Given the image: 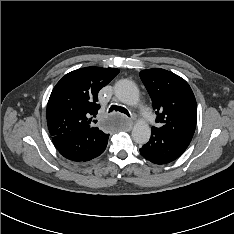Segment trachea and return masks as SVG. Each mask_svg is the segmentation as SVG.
<instances>
[{
	"instance_id": "obj_1",
	"label": "trachea",
	"mask_w": 234,
	"mask_h": 234,
	"mask_svg": "<svg viewBox=\"0 0 234 234\" xmlns=\"http://www.w3.org/2000/svg\"><path fill=\"white\" fill-rule=\"evenodd\" d=\"M113 111H119V112H121V113L126 114L127 116H130L128 110L125 109L124 107H121V106L112 105V106L109 108V112H113Z\"/></svg>"
}]
</instances>
